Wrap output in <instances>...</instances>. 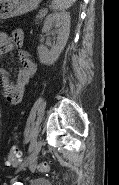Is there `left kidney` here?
<instances>
[{
    "instance_id": "left-kidney-1",
    "label": "left kidney",
    "mask_w": 119,
    "mask_h": 185,
    "mask_svg": "<svg viewBox=\"0 0 119 185\" xmlns=\"http://www.w3.org/2000/svg\"><path fill=\"white\" fill-rule=\"evenodd\" d=\"M58 28L57 41L51 50H48L43 45L38 46V54L40 63L45 65L54 64L59 58L61 52L66 46L70 33V13L69 12H54L49 14L44 22L42 33L49 32L52 27Z\"/></svg>"
}]
</instances>
